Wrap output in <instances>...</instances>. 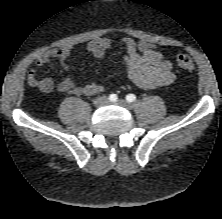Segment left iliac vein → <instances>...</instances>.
Wrapping results in <instances>:
<instances>
[{
    "label": "left iliac vein",
    "instance_id": "left-iliac-vein-1",
    "mask_svg": "<svg viewBox=\"0 0 222 219\" xmlns=\"http://www.w3.org/2000/svg\"><path fill=\"white\" fill-rule=\"evenodd\" d=\"M115 104H117V105H119L121 107H124L127 110L131 109V104L128 101H126V100L120 99Z\"/></svg>",
    "mask_w": 222,
    "mask_h": 219
}]
</instances>
